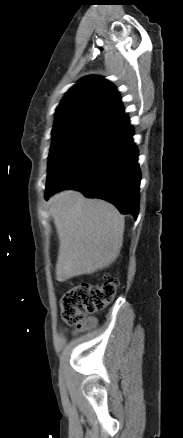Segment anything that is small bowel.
Masks as SVG:
<instances>
[{
  "label": "small bowel",
  "mask_w": 183,
  "mask_h": 438,
  "mask_svg": "<svg viewBox=\"0 0 183 438\" xmlns=\"http://www.w3.org/2000/svg\"><path fill=\"white\" fill-rule=\"evenodd\" d=\"M94 321V319H89L88 324H91Z\"/></svg>",
  "instance_id": "small-bowel-1"
}]
</instances>
